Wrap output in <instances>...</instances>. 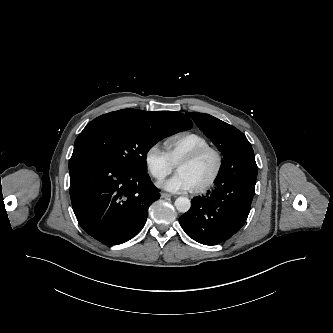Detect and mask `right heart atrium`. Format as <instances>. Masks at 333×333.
<instances>
[{
	"mask_svg": "<svg viewBox=\"0 0 333 333\" xmlns=\"http://www.w3.org/2000/svg\"><path fill=\"white\" fill-rule=\"evenodd\" d=\"M144 162L148 173L157 181H162L174 170V164L167 154L153 144L144 154Z\"/></svg>",
	"mask_w": 333,
	"mask_h": 333,
	"instance_id": "obj_1",
	"label": "right heart atrium"
}]
</instances>
